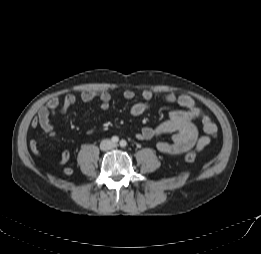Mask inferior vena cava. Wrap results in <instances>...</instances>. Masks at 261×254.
Masks as SVG:
<instances>
[{
  "instance_id": "602c4592",
  "label": "inferior vena cava",
  "mask_w": 261,
  "mask_h": 254,
  "mask_svg": "<svg viewBox=\"0 0 261 254\" xmlns=\"http://www.w3.org/2000/svg\"><path fill=\"white\" fill-rule=\"evenodd\" d=\"M113 147H114V144L110 140H103L100 145V148L102 150H109V149H112Z\"/></svg>"
}]
</instances>
